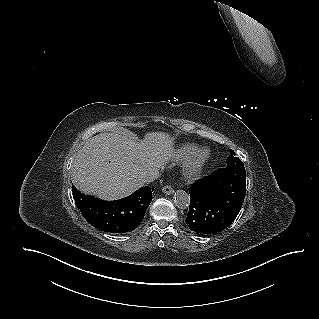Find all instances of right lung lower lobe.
Returning a JSON list of instances; mask_svg holds the SVG:
<instances>
[{
    "instance_id": "obj_1",
    "label": "right lung lower lobe",
    "mask_w": 319,
    "mask_h": 319,
    "mask_svg": "<svg viewBox=\"0 0 319 319\" xmlns=\"http://www.w3.org/2000/svg\"><path fill=\"white\" fill-rule=\"evenodd\" d=\"M72 191L75 203L87 222L111 233H126L136 229L152 200V190L148 186L116 201H103L81 194L74 186Z\"/></svg>"
}]
</instances>
